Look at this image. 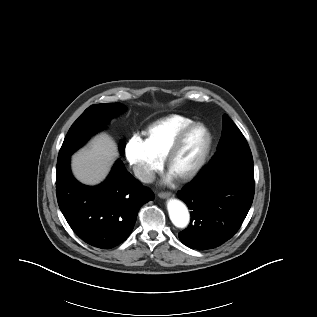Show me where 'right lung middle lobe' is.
I'll use <instances>...</instances> for the list:
<instances>
[{
  "label": "right lung middle lobe",
  "mask_w": 317,
  "mask_h": 317,
  "mask_svg": "<svg viewBox=\"0 0 317 317\" xmlns=\"http://www.w3.org/2000/svg\"><path fill=\"white\" fill-rule=\"evenodd\" d=\"M124 110L125 107L119 103L98 104L87 108L68 131L60 149L57 162L69 158L94 133L101 130L111 118ZM124 150L125 142H122L120 151L124 153Z\"/></svg>",
  "instance_id": "1"
}]
</instances>
